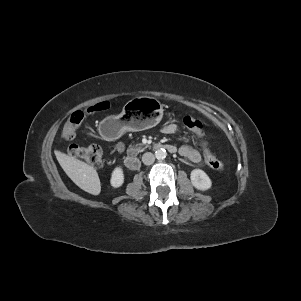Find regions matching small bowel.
Instances as JSON below:
<instances>
[{
  "instance_id": "obj_1",
  "label": "small bowel",
  "mask_w": 301,
  "mask_h": 301,
  "mask_svg": "<svg viewBox=\"0 0 301 301\" xmlns=\"http://www.w3.org/2000/svg\"><path fill=\"white\" fill-rule=\"evenodd\" d=\"M178 127L174 123H168L162 128V133L164 134H174ZM115 148L117 151L122 152L124 147L121 143H115ZM179 154L191 163L198 164L202 161V155L199 151L191 146H182L179 149Z\"/></svg>"
}]
</instances>
